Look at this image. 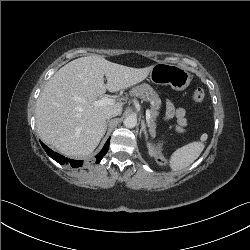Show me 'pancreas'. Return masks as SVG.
I'll return each instance as SVG.
<instances>
[{
	"label": "pancreas",
	"mask_w": 250,
	"mask_h": 250,
	"mask_svg": "<svg viewBox=\"0 0 250 250\" xmlns=\"http://www.w3.org/2000/svg\"><path fill=\"white\" fill-rule=\"evenodd\" d=\"M129 94L133 97H138L144 101L151 102V118L149 122V131L152 136H155L156 130V118L159 115V109L161 108V99L156 91L148 84H141L133 87Z\"/></svg>",
	"instance_id": "cf45deb5"
}]
</instances>
